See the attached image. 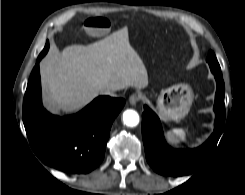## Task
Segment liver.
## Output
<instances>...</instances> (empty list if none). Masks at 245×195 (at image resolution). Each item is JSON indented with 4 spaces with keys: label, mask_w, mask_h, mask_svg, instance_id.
I'll use <instances>...</instances> for the list:
<instances>
[{
    "label": "liver",
    "mask_w": 245,
    "mask_h": 195,
    "mask_svg": "<svg viewBox=\"0 0 245 195\" xmlns=\"http://www.w3.org/2000/svg\"><path fill=\"white\" fill-rule=\"evenodd\" d=\"M40 72L46 105L54 112L79 110L103 89L148 86L147 69L130 45L127 27L88 46L50 52Z\"/></svg>",
    "instance_id": "6515ba94"
}]
</instances>
